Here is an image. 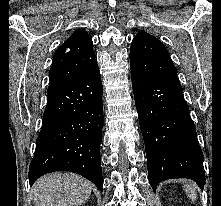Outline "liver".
Listing matches in <instances>:
<instances>
[{
  "label": "liver",
  "mask_w": 221,
  "mask_h": 206,
  "mask_svg": "<svg viewBox=\"0 0 221 206\" xmlns=\"http://www.w3.org/2000/svg\"><path fill=\"white\" fill-rule=\"evenodd\" d=\"M92 184L73 173H54L34 185L35 206H80L90 196Z\"/></svg>",
  "instance_id": "6515ba94"
}]
</instances>
